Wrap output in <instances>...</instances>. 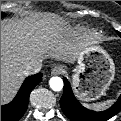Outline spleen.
<instances>
[{"mask_svg":"<svg viewBox=\"0 0 121 121\" xmlns=\"http://www.w3.org/2000/svg\"><path fill=\"white\" fill-rule=\"evenodd\" d=\"M106 104H107V102L93 103L92 106L95 108H101V107L105 106Z\"/></svg>","mask_w":121,"mask_h":121,"instance_id":"spleen-1","label":"spleen"}]
</instances>
